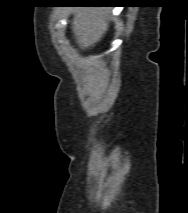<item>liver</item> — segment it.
Listing matches in <instances>:
<instances>
[{
  "instance_id": "6515ba94",
  "label": "liver",
  "mask_w": 188,
  "mask_h": 213,
  "mask_svg": "<svg viewBox=\"0 0 188 213\" xmlns=\"http://www.w3.org/2000/svg\"><path fill=\"white\" fill-rule=\"evenodd\" d=\"M110 9L77 8L72 23L76 43L81 49L93 47L108 30Z\"/></svg>"
}]
</instances>
